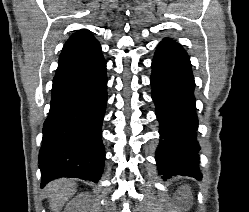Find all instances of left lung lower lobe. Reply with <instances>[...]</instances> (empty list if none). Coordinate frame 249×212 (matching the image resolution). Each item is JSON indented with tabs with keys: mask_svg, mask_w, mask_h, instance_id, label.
Masks as SVG:
<instances>
[{
	"mask_svg": "<svg viewBox=\"0 0 249 212\" xmlns=\"http://www.w3.org/2000/svg\"><path fill=\"white\" fill-rule=\"evenodd\" d=\"M152 98L160 123V144L156 151L162 178L182 175L201 179L196 141L194 77L189 56L180 44L163 40L152 62Z\"/></svg>",
	"mask_w": 249,
	"mask_h": 212,
	"instance_id": "obj_1",
	"label": "left lung lower lobe"
}]
</instances>
